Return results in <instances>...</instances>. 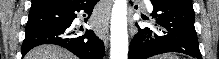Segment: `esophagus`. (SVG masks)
<instances>
[{
	"label": "esophagus",
	"instance_id": "1",
	"mask_svg": "<svg viewBox=\"0 0 219 59\" xmlns=\"http://www.w3.org/2000/svg\"><path fill=\"white\" fill-rule=\"evenodd\" d=\"M113 0H105L103 1V7L105 10H108L111 6ZM109 18L104 20L102 27L96 30L100 39L104 42L105 46L108 44V36H109Z\"/></svg>",
	"mask_w": 219,
	"mask_h": 59
}]
</instances>
